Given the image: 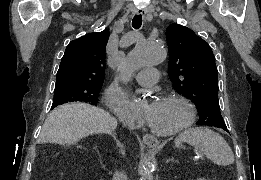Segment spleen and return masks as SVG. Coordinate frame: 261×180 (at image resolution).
<instances>
[{"instance_id": "3e777b00", "label": "spleen", "mask_w": 261, "mask_h": 180, "mask_svg": "<svg viewBox=\"0 0 261 180\" xmlns=\"http://www.w3.org/2000/svg\"><path fill=\"white\" fill-rule=\"evenodd\" d=\"M176 142H187L194 148H201L206 158L217 166L234 164V154L226 140L209 128H188L179 134Z\"/></svg>"}]
</instances>
